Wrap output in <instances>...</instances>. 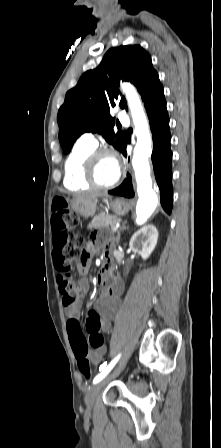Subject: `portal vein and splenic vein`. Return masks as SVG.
Instances as JSON below:
<instances>
[{
  "instance_id": "18ae733b",
  "label": "portal vein and splenic vein",
  "mask_w": 221,
  "mask_h": 448,
  "mask_svg": "<svg viewBox=\"0 0 221 448\" xmlns=\"http://www.w3.org/2000/svg\"><path fill=\"white\" fill-rule=\"evenodd\" d=\"M119 227H120V224L117 223V224H115V225L112 227V230H113V231H117Z\"/></svg>"
}]
</instances>
